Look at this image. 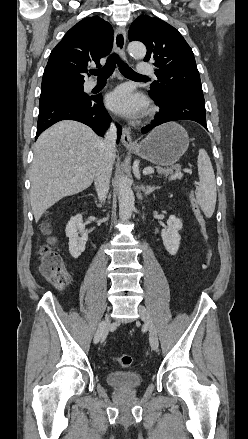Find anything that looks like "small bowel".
Listing matches in <instances>:
<instances>
[{
    "instance_id": "c3829d8e",
    "label": "small bowel",
    "mask_w": 248,
    "mask_h": 439,
    "mask_svg": "<svg viewBox=\"0 0 248 439\" xmlns=\"http://www.w3.org/2000/svg\"><path fill=\"white\" fill-rule=\"evenodd\" d=\"M59 290H61L62 289V286H56Z\"/></svg>"
}]
</instances>
